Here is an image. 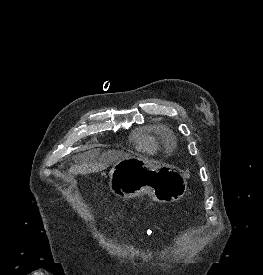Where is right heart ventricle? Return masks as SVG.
Listing matches in <instances>:
<instances>
[{"instance_id":"1","label":"right heart ventricle","mask_w":263,"mask_h":275,"mask_svg":"<svg viewBox=\"0 0 263 275\" xmlns=\"http://www.w3.org/2000/svg\"><path fill=\"white\" fill-rule=\"evenodd\" d=\"M136 142L142 148H147L151 145V140L148 137L143 135H138L136 137Z\"/></svg>"}]
</instances>
